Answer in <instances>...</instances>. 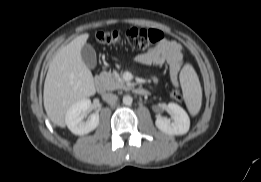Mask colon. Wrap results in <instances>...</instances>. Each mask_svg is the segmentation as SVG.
<instances>
[{
	"label": "colon",
	"instance_id": "colon-1",
	"mask_svg": "<svg viewBox=\"0 0 261 182\" xmlns=\"http://www.w3.org/2000/svg\"><path fill=\"white\" fill-rule=\"evenodd\" d=\"M163 33L157 29L129 28L123 33L117 31H100L95 35L96 40L104 45H117L125 42L134 50L145 49L158 45L163 40ZM171 96L180 101L182 96L177 90L171 91Z\"/></svg>",
	"mask_w": 261,
	"mask_h": 182
}]
</instances>
